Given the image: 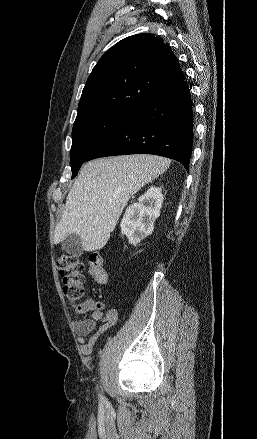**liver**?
<instances>
[{"mask_svg": "<svg viewBox=\"0 0 257 439\" xmlns=\"http://www.w3.org/2000/svg\"><path fill=\"white\" fill-rule=\"evenodd\" d=\"M170 161L157 155L136 154L87 162L66 198L54 233V243L69 234L81 239L83 250L102 249L129 199L161 175Z\"/></svg>", "mask_w": 257, "mask_h": 439, "instance_id": "1", "label": "liver"}]
</instances>
